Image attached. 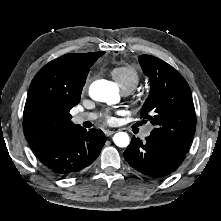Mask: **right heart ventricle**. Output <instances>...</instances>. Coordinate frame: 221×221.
Instances as JSON below:
<instances>
[{"instance_id":"1","label":"right heart ventricle","mask_w":221,"mask_h":221,"mask_svg":"<svg viewBox=\"0 0 221 221\" xmlns=\"http://www.w3.org/2000/svg\"><path fill=\"white\" fill-rule=\"evenodd\" d=\"M111 75L124 92H132L139 84L140 74L130 65L116 66Z\"/></svg>"}]
</instances>
